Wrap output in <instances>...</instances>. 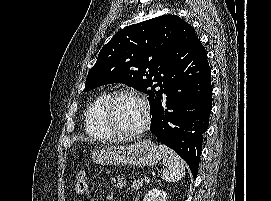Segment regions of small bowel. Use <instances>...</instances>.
<instances>
[{
	"label": "small bowel",
	"instance_id": "obj_1",
	"mask_svg": "<svg viewBox=\"0 0 271 201\" xmlns=\"http://www.w3.org/2000/svg\"><path fill=\"white\" fill-rule=\"evenodd\" d=\"M126 184V181L121 176H116L111 179V185L115 189H122Z\"/></svg>",
	"mask_w": 271,
	"mask_h": 201
}]
</instances>
